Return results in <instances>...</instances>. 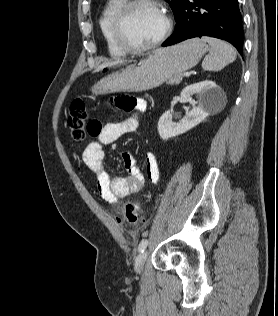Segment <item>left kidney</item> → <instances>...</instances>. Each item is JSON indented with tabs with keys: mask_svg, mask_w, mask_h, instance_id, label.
<instances>
[{
	"mask_svg": "<svg viewBox=\"0 0 278 316\" xmlns=\"http://www.w3.org/2000/svg\"><path fill=\"white\" fill-rule=\"evenodd\" d=\"M194 94L198 96V101L192 99ZM180 95L181 99L189 102L193 108L179 123L172 122L170 111L160 117L158 132L163 140L183 134L201 123L218 108L223 91L215 82L205 80L185 87Z\"/></svg>",
	"mask_w": 278,
	"mask_h": 316,
	"instance_id": "left-kidney-1",
	"label": "left kidney"
}]
</instances>
